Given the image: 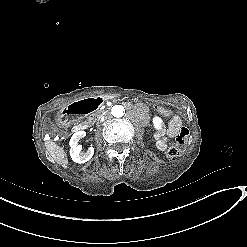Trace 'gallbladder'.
Returning a JSON list of instances; mask_svg holds the SVG:
<instances>
[{
	"instance_id": "1",
	"label": "gallbladder",
	"mask_w": 247,
	"mask_h": 247,
	"mask_svg": "<svg viewBox=\"0 0 247 247\" xmlns=\"http://www.w3.org/2000/svg\"><path fill=\"white\" fill-rule=\"evenodd\" d=\"M44 123L45 125L49 126L47 129L48 134H50L51 136L56 135L57 125L53 121L52 117L50 116L45 117Z\"/></svg>"
}]
</instances>
